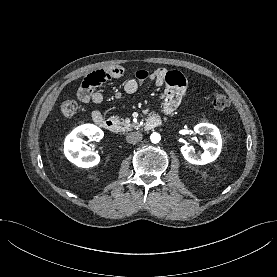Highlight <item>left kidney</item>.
I'll list each match as a JSON object with an SVG mask.
<instances>
[{"mask_svg":"<svg viewBox=\"0 0 277 277\" xmlns=\"http://www.w3.org/2000/svg\"><path fill=\"white\" fill-rule=\"evenodd\" d=\"M194 132L206 135L207 141L201 143L204 152L195 153L191 146L184 145L180 149L183 157L189 163L196 165H205L213 162L219 156L222 147L219 129L213 124L200 123L194 127Z\"/></svg>","mask_w":277,"mask_h":277,"instance_id":"left-kidney-1","label":"left kidney"}]
</instances>
